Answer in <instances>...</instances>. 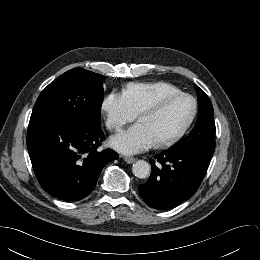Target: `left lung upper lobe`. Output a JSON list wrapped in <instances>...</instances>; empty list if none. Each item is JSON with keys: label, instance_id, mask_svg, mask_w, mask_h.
Masks as SVG:
<instances>
[{"label": "left lung upper lobe", "instance_id": "5c2ea615", "mask_svg": "<svg viewBox=\"0 0 260 260\" xmlns=\"http://www.w3.org/2000/svg\"><path fill=\"white\" fill-rule=\"evenodd\" d=\"M198 94L199 114L196 125L191 133L171 149L203 152L213 155L215 151L214 133V111L209 97L195 85Z\"/></svg>", "mask_w": 260, "mask_h": 260}]
</instances>
